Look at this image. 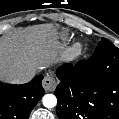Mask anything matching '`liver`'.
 <instances>
[{
    "label": "liver",
    "mask_w": 119,
    "mask_h": 119,
    "mask_svg": "<svg viewBox=\"0 0 119 119\" xmlns=\"http://www.w3.org/2000/svg\"><path fill=\"white\" fill-rule=\"evenodd\" d=\"M58 27L39 24L0 40V80L47 67L56 57L60 44Z\"/></svg>",
    "instance_id": "6515ba94"
}]
</instances>
